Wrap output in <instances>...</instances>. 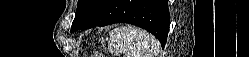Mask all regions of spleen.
I'll return each instance as SVG.
<instances>
[{"mask_svg": "<svg viewBox=\"0 0 249 57\" xmlns=\"http://www.w3.org/2000/svg\"><path fill=\"white\" fill-rule=\"evenodd\" d=\"M112 48L127 57H153L158 52V42L146 31L132 26H121L109 33Z\"/></svg>", "mask_w": 249, "mask_h": 57, "instance_id": "3e777b00", "label": "spleen"}]
</instances>
